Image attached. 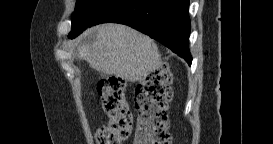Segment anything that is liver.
Returning <instances> with one entry per match:
<instances>
[{
    "instance_id": "6515ba94",
    "label": "liver",
    "mask_w": 273,
    "mask_h": 144,
    "mask_svg": "<svg viewBox=\"0 0 273 144\" xmlns=\"http://www.w3.org/2000/svg\"><path fill=\"white\" fill-rule=\"evenodd\" d=\"M93 33V42H84L78 47L79 57L104 74L129 82L144 81L161 62L155 42L128 26L99 25L86 31L85 36Z\"/></svg>"
}]
</instances>
